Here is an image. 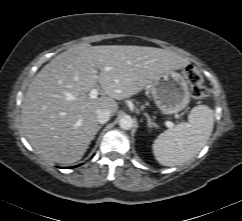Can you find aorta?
<instances>
[{"mask_svg": "<svg viewBox=\"0 0 242 221\" xmlns=\"http://www.w3.org/2000/svg\"><path fill=\"white\" fill-rule=\"evenodd\" d=\"M134 121L129 115H125L120 118L119 125L123 130H130L133 127Z\"/></svg>", "mask_w": 242, "mask_h": 221, "instance_id": "1", "label": "aorta"}]
</instances>
